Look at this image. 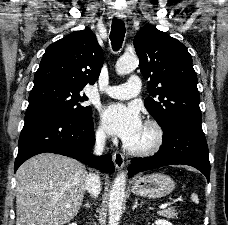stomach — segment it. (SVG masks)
Masks as SVG:
<instances>
[{
  "instance_id": "0dacf381",
  "label": "stomach",
  "mask_w": 228,
  "mask_h": 225,
  "mask_svg": "<svg viewBox=\"0 0 228 225\" xmlns=\"http://www.w3.org/2000/svg\"><path fill=\"white\" fill-rule=\"evenodd\" d=\"M175 189V183L168 175L162 173H153V175H144L136 177L132 183L131 191L137 197H146V199H162L170 195Z\"/></svg>"
}]
</instances>
